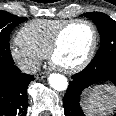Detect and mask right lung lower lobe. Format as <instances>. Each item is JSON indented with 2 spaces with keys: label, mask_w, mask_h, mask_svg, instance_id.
Segmentation results:
<instances>
[{
  "label": "right lung lower lobe",
  "mask_w": 116,
  "mask_h": 116,
  "mask_svg": "<svg viewBox=\"0 0 116 116\" xmlns=\"http://www.w3.org/2000/svg\"><path fill=\"white\" fill-rule=\"evenodd\" d=\"M34 76L21 73L14 61L0 68V116H26L27 87Z\"/></svg>",
  "instance_id": "obj_1"
}]
</instances>
